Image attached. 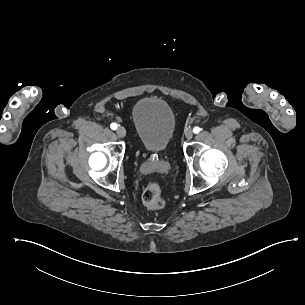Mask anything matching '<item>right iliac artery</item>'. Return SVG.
Returning <instances> with one entry per match:
<instances>
[{
  "mask_svg": "<svg viewBox=\"0 0 305 305\" xmlns=\"http://www.w3.org/2000/svg\"><path fill=\"white\" fill-rule=\"evenodd\" d=\"M117 127H118V125H117L116 123H111V125H110V128H111L112 130H116Z\"/></svg>",
  "mask_w": 305,
  "mask_h": 305,
  "instance_id": "1",
  "label": "right iliac artery"
}]
</instances>
